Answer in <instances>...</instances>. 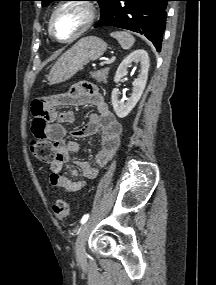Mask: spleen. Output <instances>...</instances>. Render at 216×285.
<instances>
[{"label": "spleen", "mask_w": 216, "mask_h": 285, "mask_svg": "<svg viewBox=\"0 0 216 285\" xmlns=\"http://www.w3.org/2000/svg\"><path fill=\"white\" fill-rule=\"evenodd\" d=\"M111 37L115 38L123 49H130L134 42L135 38L128 32L125 31H116L111 33Z\"/></svg>", "instance_id": "spleen-1"}]
</instances>
